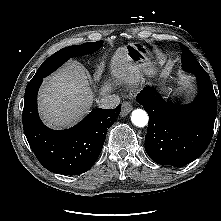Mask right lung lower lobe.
<instances>
[{
	"label": "right lung lower lobe",
	"mask_w": 221,
	"mask_h": 221,
	"mask_svg": "<svg viewBox=\"0 0 221 221\" xmlns=\"http://www.w3.org/2000/svg\"><path fill=\"white\" fill-rule=\"evenodd\" d=\"M43 78L31 80L25 90L23 128L39 162L49 171L77 175L88 171L97 160L107 134L116 122L115 109H94L76 126L55 131L47 128L37 111V92Z\"/></svg>",
	"instance_id": "98d812e1"
}]
</instances>
